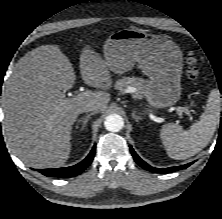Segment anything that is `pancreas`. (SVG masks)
Returning a JSON list of instances; mask_svg holds the SVG:
<instances>
[{"mask_svg":"<svg viewBox=\"0 0 222 219\" xmlns=\"http://www.w3.org/2000/svg\"><path fill=\"white\" fill-rule=\"evenodd\" d=\"M147 82L139 77H124L116 82L115 89L125 93L129 87H134L138 90L137 96H141Z\"/></svg>","mask_w":222,"mask_h":219,"instance_id":"obj_1","label":"pancreas"}]
</instances>
